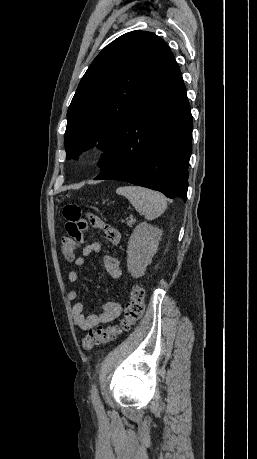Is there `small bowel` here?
<instances>
[{
  "label": "small bowel",
  "instance_id": "1",
  "mask_svg": "<svg viewBox=\"0 0 257 459\" xmlns=\"http://www.w3.org/2000/svg\"><path fill=\"white\" fill-rule=\"evenodd\" d=\"M62 219L66 220L69 227L65 228V235L70 236L71 240L76 244V249H82V255L74 260L77 267L85 265L86 258L101 250L99 242L89 243V236L93 234V228L100 230L105 239L112 245L116 246L121 241V233L107 225L104 221L96 216L91 217V209L86 208V205H74L69 201L67 205H63ZM92 226V227H91ZM103 264L108 275L115 281L121 278L122 271L119 260L112 255L103 257ZM80 278V274L76 270H71L68 273L70 283H76ZM79 297V291L76 289L70 290L68 298L74 301L71 312L74 323L82 330H89L101 324H107L117 319L122 311V306L119 302L109 301L101 306L99 314L86 316L84 314V305L82 302L76 301Z\"/></svg>",
  "mask_w": 257,
  "mask_h": 459
}]
</instances>
